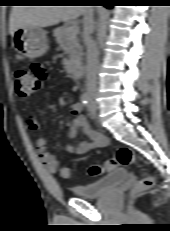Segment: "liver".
I'll use <instances>...</instances> for the list:
<instances>
[{"label":"liver","mask_w":170,"mask_h":231,"mask_svg":"<svg viewBox=\"0 0 170 231\" xmlns=\"http://www.w3.org/2000/svg\"><path fill=\"white\" fill-rule=\"evenodd\" d=\"M84 6H14L9 19V33L22 27H48L60 21L77 19Z\"/></svg>","instance_id":"liver-1"}]
</instances>
